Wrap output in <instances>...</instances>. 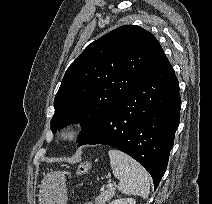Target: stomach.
I'll return each instance as SVG.
<instances>
[{
    "label": "stomach",
    "mask_w": 212,
    "mask_h": 204,
    "mask_svg": "<svg viewBox=\"0 0 212 204\" xmlns=\"http://www.w3.org/2000/svg\"><path fill=\"white\" fill-rule=\"evenodd\" d=\"M38 198L39 204H67L64 173L52 171L45 175L40 185Z\"/></svg>",
    "instance_id": "obj_1"
}]
</instances>
